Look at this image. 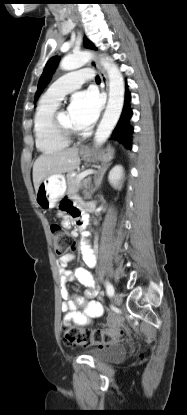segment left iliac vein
Masks as SVG:
<instances>
[{"instance_id":"1","label":"left iliac vein","mask_w":187,"mask_h":415,"mask_svg":"<svg viewBox=\"0 0 187 415\" xmlns=\"http://www.w3.org/2000/svg\"><path fill=\"white\" fill-rule=\"evenodd\" d=\"M113 298L115 305H120L122 303V295L119 292H115Z\"/></svg>"}]
</instances>
